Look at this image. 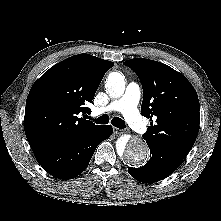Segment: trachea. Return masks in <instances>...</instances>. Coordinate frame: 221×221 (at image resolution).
<instances>
[{
	"instance_id": "1",
	"label": "trachea",
	"mask_w": 221,
	"mask_h": 221,
	"mask_svg": "<svg viewBox=\"0 0 221 221\" xmlns=\"http://www.w3.org/2000/svg\"><path fill=\"white\" fill-rule=\"evenodd\" d=\"M95 122H96L97 124H108V122H109V116L106 115V114H104V115L98 117V118L95 120ZM111 124H112L113 126L119 128V129L125 128V122H124L121 118H119V117H114V118H112V119H111Z\"/></svg>"
}]
</instances>
